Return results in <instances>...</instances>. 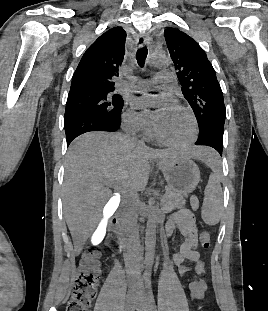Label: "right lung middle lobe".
<instances>
[{
  "label": "right lung middle lobe",
  "instance_id": "right-lung-middle-lobe-1",
  "mask_svg": "<svg viewBox=\"0 0 268 311\" xmlns=\"http://www.w3.org/2000/svg\"><path fill=\"white\" fill-rule=\"evenodd\" d=\"M123 105L122 97L110 90L88 88L70 90L64 123L80 114L115 120L121 116Z\"/></svg>",
  "mask_w": 268,
  "mask_h": 311
}]
</instances>
